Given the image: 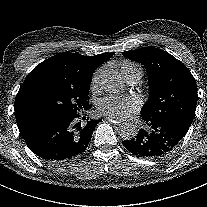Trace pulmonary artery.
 I'll return each instance as SVG.
<instances>
[{
	"label": "pulmonary artery",
	"mask_w": 207,
	"mask_h": 207,
	"mask_svg": "<svg viewBox=\"0 0 207 207\" xmlns=\"http://www.w3.org/2000/svg\"><path fill=\"white\" fill-rule=\"evenodd\" d=\"M124 76L129 83H135L141 76V70L139 68L130 70L126 72Z\"/></svg>",
	"instance_id": "1"
}]
</instances>
